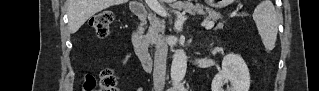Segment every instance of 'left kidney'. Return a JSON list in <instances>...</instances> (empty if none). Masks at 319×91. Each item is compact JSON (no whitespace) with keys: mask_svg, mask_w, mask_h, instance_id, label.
I'll return each mask as SVG.
<instances>
[{"mask_svg":"<svg viewBox=\"0 0 319 91\" xmlns=\"http://www.w3.org/2000/svg\"><path fill=\"white\" fill-rule=\"evenodd\" d=\"M231 83L226 91H249L250 74L243 58L237 54H227L222 61V70L212 80V91H225V83Z\"/></svg>","mask_w":319,"mask_h":91,"instance_id":"1","label":"left kidney"}]
</instances>
